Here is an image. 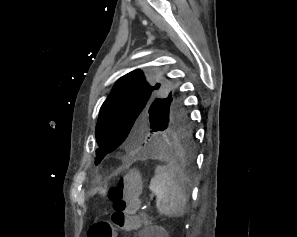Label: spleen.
Returning <instances> with one entry per match:
<instances>
[{
  "instance_id": "3e777b00",
  "label": "spleen",
  "mask_w": 297,
  "mask_h": 237,
  "mask_svg": "<svg viewBox=\"0 0 297 237\" xmlns=\"http://www.w3.org/2000/svg\"><path fill=\"white\" fill-rule=\"evenodd\" d=\"M149 189L156 196V207L160 214L169 217H180L185 214L187 203L185 179L181 175L177 176L174 168L158 167Z\"/></svg>"
}]
</instances>
